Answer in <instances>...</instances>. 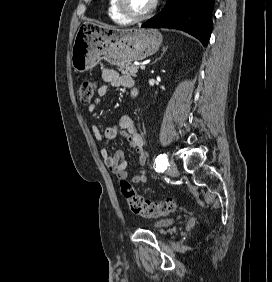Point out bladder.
<instances>
[{
    "instance_id": "31cf9c89",
    "label": "bladder",
    "mask_w": 272,
    "mask_h": 282,
    "mask_svg": "<svg viewBox=\"0 0 272 282\" xmlns=\"http://www.w3.org/2000/svg\"><path fill=\"white\" fill-rule=\"evenodd\" d=\"M176 221H177L176 218L161 219L159 221L154 222L152 224V227L154 229L159 230V229H163V228H166V227H169V226L175 224Z\"/></svg>"
}]
</instances>
